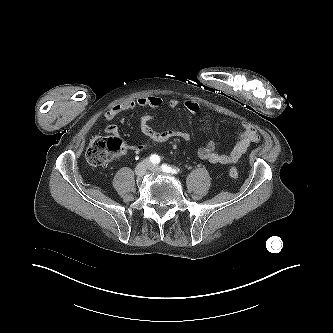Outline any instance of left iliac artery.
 I'll use <instances>...</instances> for the list:
<instances>
[{
    "label": "left iliac artery",
    "instance_id": "left-iliac-artery-1",
    "mask_svg": "<svg viewBox=\"0 0 333 333\" xmlns=\"http://www.w3.org/2000/svg\"><path fill=\"white\" fill-rule=\"evenodd\" d=\"M161 168L166 173L177 174L179 172V169L172 168V167L168 166L167 164H162Z\"/></svg>",
    "mask_w": 333,
    "mask_h": 333
}]
</instances>
